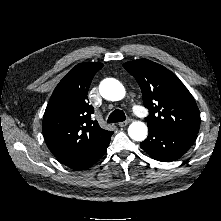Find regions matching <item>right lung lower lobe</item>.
<instances>
[{
  "mask_svg": "<svg viewBox=\"0 0 221 221\" xmlns=\"http://www.w3.org/2000/svg\"><path fill=\"white\" fill-rule=\"evenodd\" d=\"M109 141H107L102 147H100L98 150L93 152L92 154L88 155L87 157L81 159L80 161H77L68 167L75 169V170H85L89 167H91L98 159H100L106 152V149L109 145Z\"/></svg>",
  "mask_w": 221,
  "mask_h": 221,
  "instance_id": "obj_1",
  "label": "right lung lower lobe"
}]
</instances>
